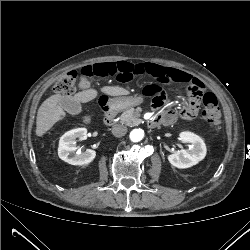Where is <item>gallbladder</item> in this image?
<instances>
[{"label": "gallbladder", "instance_id": "obj_1", "mask_svg": "<svg viewBox=\"0 0 250 250\" xmlns=\"http://www.w3.org/2000/svg\"><path fill=\"white\" fill-rule=\"evenodd\" d=\"M60 105L65 111L72 115H78L82 112L81 104L70 98H62L60 101Z\"/></svg>", "mask_w": 250, "mask_h": 250}]
</instances>
